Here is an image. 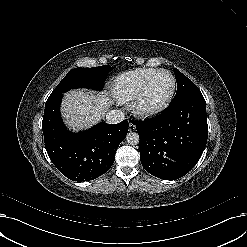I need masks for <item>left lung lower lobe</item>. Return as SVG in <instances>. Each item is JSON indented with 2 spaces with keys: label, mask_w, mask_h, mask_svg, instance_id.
Wrapping results in <instances>:
<instances>
[{
  "label": "left lung lower lobe",
  "mask_w": 247,
  "mask_h": 247,
  "mask_svg": "<svg viewBox=\"0 0 247 247\" xmlns=\"http://www.w3.org/2000/svg\"><path fill=\"white\" fill-rule=\"evenodd\" d=\"M132 123L140 137L142 166L164 180L187 174L207 143L206 102L202 93L169 105L155 118Z\"/></svg>",
  "instance_id": "left-lung-lower-lobe-1"
}]
</instances>
